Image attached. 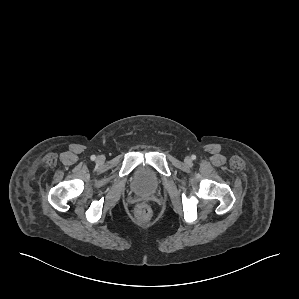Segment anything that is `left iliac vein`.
Masks as SVG:
<instances>
[{
    "label": "left iliac vein",
    "instance_id": "left-iliac-vein-1",
    "mask_svg": "<svg viewBox=\"0 0 299 299\" xmlns=\"http://www.w3.org/2000/svg\"><path fill=\"white\" fill-rule=\"evenodd\" d=\"M184 161L187 165L191 164V162H192L190 157H186Z\"/></svg>",
    "mask_w": 299,
    "mask_h": 299
}]
</instances>
